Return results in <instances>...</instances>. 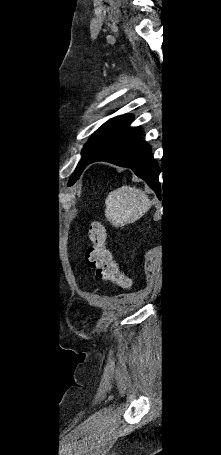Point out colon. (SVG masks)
<instances>
[{"instance_id": "5ec220e1", "label": "colon", "mask_w": 221, "mask_h": 455, "mask_svg": "<svg viewBox=\"0 0 221 455\" xmlns=\"http://www.w3.org/2000/svg\"><path fill=\"white\" fill-rule=\"evenodd\" d=\"M89 239L91 245L86 252V261L89 267L95 271L96 277L119 287L129 288L131 279L119 270L117 262L113 260L106 246L105 230L99 222L92 223Z\"/></svg>"}]
</instances>
